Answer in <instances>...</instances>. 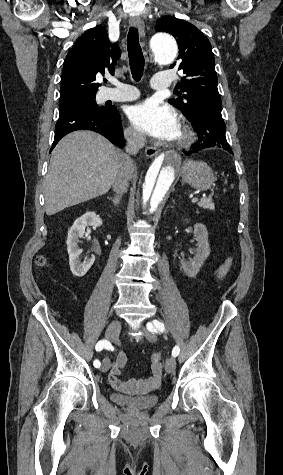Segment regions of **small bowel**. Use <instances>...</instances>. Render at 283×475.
I'll use <instances>...</instances> for the list:
<instances>
[{
    "label": "small bowel",
    "instance_id": "c3829d8e",
    "mask_svg": "<svg viewBox=\"0 0 283 475\" xmlns=\"http://www.w3.org/2000/svg\"><path fill=\"white\" fill-rule=\"evenodd\" d=\"M232 264H233V257L228 256L216 269L215 271L216 278L219 280L225 278ZM126 363H127V356L123 351H120L108 374V382L116 390H120V391L126 390V383L122 382L119 379L121 371L125 367ZM162 374H163V369H152V375L150 376V378L148 379V377L146 376H140L138 378V383L140 385H146L149 382L151 385L157 386L161 382ZM128 383L130 385H135L137 383V378L135 376H130L128 378Z\"/></svg>",
    "mask_w": 283,
    "mask_h": 475
}]
</instances>
